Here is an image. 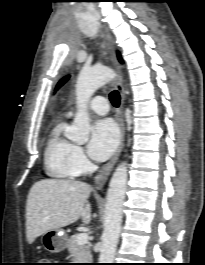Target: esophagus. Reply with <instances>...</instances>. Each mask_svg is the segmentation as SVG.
Wrapping results in <instances>:
<instances>
[{"instance_id": "obj_1", "label": "esophagus", "mask_w": 205, "mask_h": 265, "mask_svg": "<svg viewBox=\"0 0 205 265\" xmlns=\"http://www.w3.org/2000/svg\"><path fill=\"white\" fill-rule=\"evenodd\" d=\"M105 36H106V45L110 53L111 60L113 61L116 67V70L118 72V78L116 80V87L120 94V106L117 112V121L120 127V142L111 160L103 166V168L100 170V172L95 177V184H96L97 189H101L106 183L108 176L110 175L114 165L116 164L122 152V149L124 147V138H125V124H124V115H123L125 90L123 87V76H122V71L120 69V66L118 65L117 60H116L114 40H113L111 33L109 32L107 28L105 29Z\"/></svg>"}]
</instances>
